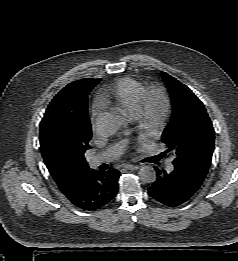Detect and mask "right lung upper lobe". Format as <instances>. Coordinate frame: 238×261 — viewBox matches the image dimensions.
Returning a JSON list of instances; mask_svg holds the SVG:
<instances>
[{
    "label": "right lung upper lobe",
    "mask_w": 238,
    "mask_h": 261,
    "mask_svg": "<svg viewBox=\"0 0 238 261\" xmlns=\"http://www.w3.org/2000/svg\"><path fill=\"white\" fill-rule=\"evenodd\" d=\"M99 81L100 79L85 78L74 81L72 84L88 92L86 95L88 98V94ZM87 105L86 108L80 107L76 110V118H65L55 123L57 135L71 152L73 162L70 165L47 166V168L66 197L73 195L93 171L90 170L84 158V152L88 149L92 136Z\"/></svg>",
    "instance_id": "obj_1"
}]
</instances>
